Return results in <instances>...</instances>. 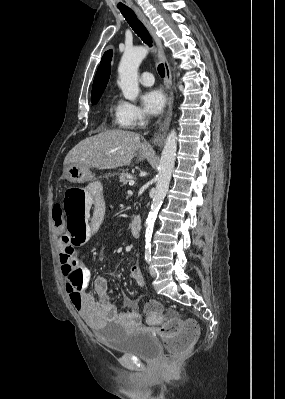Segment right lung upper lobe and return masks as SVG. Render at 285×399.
<instances>
[{
    "label": "right lung upper lobe",
    "instance_id": "cb5924a9",
    "mask_svg": "<svg viewBox=\"0 0 285 399\" xmlns=\"http://www.w3.org/2000/svg\"><path fill=\"white\" fill-rule=\"evenodd\" d=\"M111 60L112 50L106 51L101 59V63L94 78L92 96L103 93L110 77Z\"/></svg>",
    "mask_w": 285,
    "mask_h": 399
}]
</instances>
